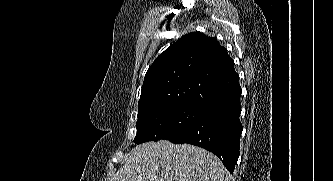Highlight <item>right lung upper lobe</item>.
<instances>
[{
  "label": "right lung upper lobe",
  "instance_id": "obj_1",
  "mask_svg": "<svg viewBox=\"0 0 333 181\" xmlns=\"http://www.w3.org/2000/svg\"><path fill=\"white\" fill-rule=\"evenodd\" d=\"M234 61L215 38L191 32L149 67L138 111L165 104L207 107L241 93Z\"/></svg>",
  "mask_w": 333,
  "mask_h": 181
}]
</instances>
